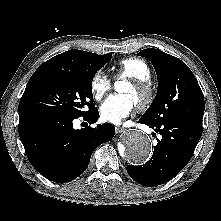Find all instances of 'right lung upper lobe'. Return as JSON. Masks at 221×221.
Masks as SVG:
<instances>
[{
    "mask_svg": "<svg viewBox=\"0 0 221 221\" xmlns=\"http://www.w3.org/2000/svg\"><path fill=\"white\" fill-rule=\"evenodd\" d=\"M98 56V54L74 49L49 59L40 67H58L63 69L82 70L91 66Z\"/></svg>",
    "mask_w": 221,
    "mask_h": 221,
    "instance_id": "obj_1",
    "label": "right lung upper lobe"
}]
</instances>
